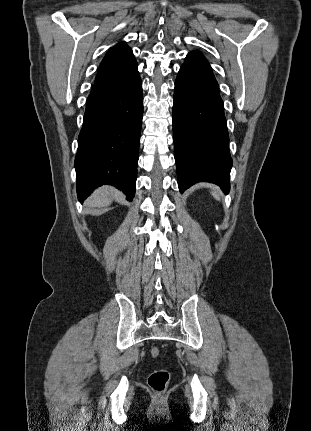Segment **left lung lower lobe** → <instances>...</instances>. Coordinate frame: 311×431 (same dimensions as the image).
Returning a JSON list of instances; mask_svg holds the SVG:
<instances>
[{
    "mask_svg": "<svg viewBox=\"0 0 311 431\" xmlns=\"http://www.w3.org/2000/svg\"><path fill=\"white\" fill-rule=\"evenodd\" d=\"M173 105V138L181 193L207 181L228 193L232 158L224 104L205 57L190 52L178 73Z\"/></svg>",
    "mask_w": 311,
    "mask_h": 431,
    "instance_id": "0a47b994",
    "label": "left lung lower lobe"
}]
</instances>
